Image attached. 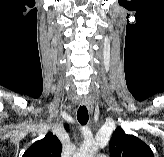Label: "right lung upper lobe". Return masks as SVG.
I'll list each match as a JSON object with an SVG mask.
<instances>
[{
  "instance_id": "1",
  "label": "right lung upper lobe",
  "mask_w": 164,
  "mask_h": 157,
  "mask_svg": "<svg viewBox=\"0 0 164 157\" xmlns=\"http://www.w3.org/2000/svg\"><path fill=\"white\" fill-rule=\"evenodd\" d=\"M68 130V125L65 126ZM62 144L59 139L49 132L43 139L36 141L22 157H61Z\"/></svg>"
}]
</instances>
